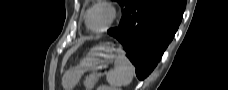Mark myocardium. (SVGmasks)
<instances>
[{
	"instance_id": "myocardium-1",
	"label": "myocardium",
	"mask_w": 228,
	"mask_h": 90,
	"mask_svg": "<svg viewBox=\"0 0 228 90\" xmlns=\"http://www.w3.org/2000/svg\"><path fill=\"white\" fill-rule=\"evenodd\" d=\"M96 7H104L109 11V14H110L106 25L99 30H93L89 25L90 13ZM116 18H117V9L111 2L97 1L91 7H89V9L87 10L86 16H85V25H86L87 29L93 33H102V32H105L106 30H108L112 26V24L115 22Z\"/></svg>"
}]
</instances>
